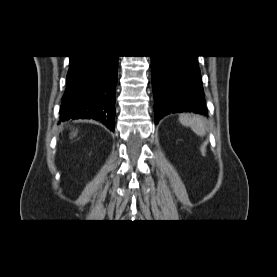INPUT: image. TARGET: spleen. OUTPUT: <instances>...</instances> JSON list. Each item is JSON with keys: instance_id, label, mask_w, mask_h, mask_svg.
<instances>
[{"instance_id": "obj_1", "label": "spleen", "mask_w": 277, "mask_h": 277, "mask_svg": "<svg viewBox=\"0 0 277 277\" xmlns=\"http://www.w3.org/2000/svg\"><path fill=\"white\" fill-rule=\"evenodd\" d=\"M179 121L182 125L190 127L199 136H204L206 133L205 123L199 116L182 114L179 117Z\"/></svg>"}]
</instances>
